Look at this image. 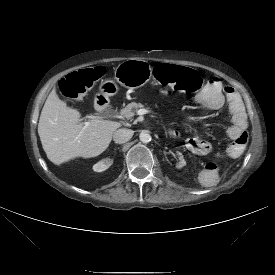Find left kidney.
<instances>
[{
	"label": "left kidney",
	"instance_id": "left-kidney-1",
	"mask_svg": "<svg viewBox=\"0 0 275 275\" xmlns=\"http://www.w3.org/2000/svg\"><path fill=\"white\" fill-rule=\"evenodd\" d=\"M171 159L173 161L174 167L177 168V169H180V168H182L183 166L186 165V162L183 158V155L178 151H175V152L172 153Z\"/></svg>",
	"mask_w": 275,
	"mask_h": 275
}]
</instances>
